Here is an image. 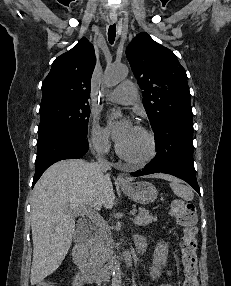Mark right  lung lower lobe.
I'll return each instance as SVG.
<instances>
[{"label": "right lung lower lobe", "mask_w": 231, "mask_h": 286, "mask_svg": "<svg viewBox=\"0 0 231 286\" xmlns=\"http://www.w3.org/2000/svg\"><path fill=\"white\" fill-rule=\"evenodd\" d=\"M86 137L73 132H64L38 141V152L35 161L36 170L32 186L53 163L63 159H78L85 155L89 146Z\"/></svg>", "instance_id": "98d812e1"}]
</instances>
